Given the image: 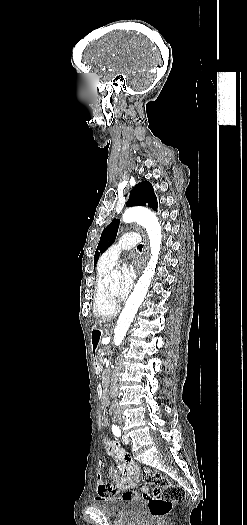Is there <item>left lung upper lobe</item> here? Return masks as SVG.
I'll return each mask as SVG.
<instances>
[{"label":"left lung upper lobe","instance_id":"left-lung-upper-lobe-1","mask_svg":"<svg viewBox=\"0 0 247 525\" xmlns=\"http://www.w3.org/2000/svg\"><path fill=\"white\" fill-rule=\"evenodd\" d=\"M148 204L153 210L157 211V198L154 193L153 186L148 181H143L137 184L130 193V197L126 203L128 207L131 206H145ZM119 220L114 219L102 232L97 251L94 256V265L96 264L100 254L104 252L115 241L119 227Z\"/></svg>","mask_w":247,"mask_h":525}]
</instances>
